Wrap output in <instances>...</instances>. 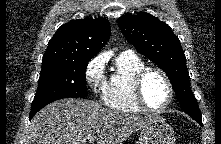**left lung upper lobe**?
<instances>
[{
    "label": "left lung upper lobe",
    "mask_w": 221,
    "mask_h": 144,
    "mask_svg": "<svg viewBox=\"0 0 221 144\" xmlns=\"http://www.w3.org/2000/svg\"><path fill=\"white\" fill-rule=\"evenodd\" d=\"M117 22L127 41L166 73L182 110L192 118H201L198 104L191 93L186 58L171 28L143 12L125 14Z\"/></svg>",
    "instance_id": "left-lung-upper-lobe-1"
}]
</instances>
